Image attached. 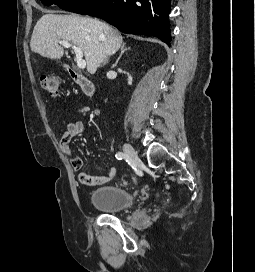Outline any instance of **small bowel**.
Listing matches in <instances>:
<instances>
[{
    "label": "small bowel",
    "mask_w": 255,
    "mask_h": 272,
    "mask_svg": "<svg viewBox=\"0 0 255 272\" xmlns=\"http://www.w3.org/2000/svg\"><path fill=\"white\" fill-rule=\"evenodd\" d=\"M85 129V123L82 120L70 121L66 124V129L63 132L60 139V148L62 152L69 159L72 167L75 170H80L83 166L82 160L76 155L71 147V140L80 135ZM117 175V168L111 166L109 171L104 175L92 176L87 172H80L79 181L80 183L87 186H99L106 184L113 180Z\"/></svg>",
    "instance_id": "1"
}]
</instances>
